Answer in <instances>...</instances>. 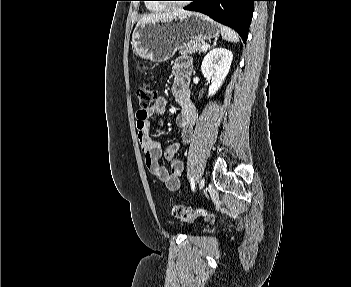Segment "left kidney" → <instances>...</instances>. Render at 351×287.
Wrapping results in <instances>:
<instances>
[{
  "instance_id": "1",
  "label": "left kidney",
  "mask_w": 351,
  "mask_h": 287,
  "mask_svg": "<svg viewBox=\"0 0 351 287\" xmlns=\"http://www.w3.org/2000/svg\"><path fill=\"white\" fill-rule=\"evenodd\" d=\"M232 59V52L221 47L212 49L204 57L201 71L204 77L211 80L208 96L214 95L221 87L229 72Z\"/></svg>"
}]
</instances>
